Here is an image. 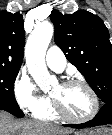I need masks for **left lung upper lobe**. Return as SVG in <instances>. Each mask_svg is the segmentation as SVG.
Masks as SVG:
<instances>
[{"label": "left lung upper lobe", "instance_id": "1", "mask_svg": "<svg viewBox=\"0 0 112 135\" xmlns=\"http://www.w3.org/2000/svg\"><path fill=\"white\" fill-rule=\"evenodd\" d=\"M55 43L103 103L112 102V44L102 19L86 10L53 11Z\"/></svg>", "mask_w": 112, "mask_h": 135}]
</instances>
